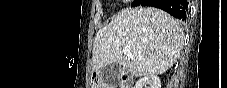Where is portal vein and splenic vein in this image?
I'll return each mask as SVG.
<instances>
[{"mask_svg": "<svg viewBox=\"0 0 227 88\" xmlns=\"http://www.w3.org/2000/svg\"><path fill=\"white\" fill-rule=\"evenodd\" d=\"M122 52H123L125 55H127L130 59H133V58H134L133 55H132V53L130 52L129 49H123Z\"/></svg>", "mask_w": 227, "mask_h": 88, "instance_id": "obj_1", "label": "portal vein and splenic vein"}]
</instances>
